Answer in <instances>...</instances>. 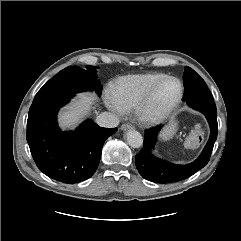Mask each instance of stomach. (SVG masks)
Masks as SVG:
<instances>
[{
  "mask_svg": "<svg viewBox=\"0 0 241 241\" xmlns=\"http://www.w3.org/2000/svg\"><path fill=\"white\" fill-rule=\"evenodd\" d=\"M177 131V122L172 121L162 132L161 138L163 140L171 139Z\"/></svg>",
  "mask_w": 241,
  "mask_h": 241,
  "instance_id": "1",
  "label": "stomach"
}]
</instances>
